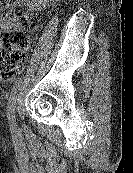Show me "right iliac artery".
<instances>
[{"instance_id": "1", "label": "right iliac artery", "mask_w": 133, "mask_h": 173, "mask_svg": "<svg viewBox=\"0 0 133 173\" xmlns=\"http://www.w3.org/2000/svg\"><path fill=\"white\" fill-rule=\"evenodd\" d=\"M21 84V78H18L15 81V84L12 88L10 97H9V101H8V106H7V115H8V120H9V124L10 126L15 129V103H16V95H17V91L20 87Z\"/></svg>"}]
</instances>
